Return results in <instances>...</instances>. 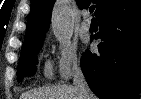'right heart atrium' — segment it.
<instances>
[{"mask_svg":"<svg viewBox=\"0 0 141 99\" xmlns=\"http://www.w3.org/2000/svg\"><path fill=\"white\" fill-rule=\"evenodd\" d=\"M55 69L61 80H68L80 71L81 58L75 44L66 42L58 45Z\"/></svg>","mask_w":141,"mask_h":99,"instance_id":"d8ad5b80","label":"right heart atrium"}]
</instances>
